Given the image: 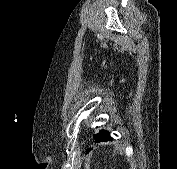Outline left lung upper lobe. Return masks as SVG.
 Segmentation results:
<instances>
[{
  "instance_id": "obj_1",
  "label": "left lung upper lobe",
  "mask_w": 177,
  "mask_h": 169,
  "mask_svg": "<svg viewBox=\"0 0 177 169\" xmlns=\"http://www.w3.org/2000/svg\"><path fill=\"white\" fill-rule=\"evenodd\" d=\"M105 133H107L106 130H100L97 134L94 135V139H96L98 136L104 135Z\"/></svg>"
}]
</instances>
